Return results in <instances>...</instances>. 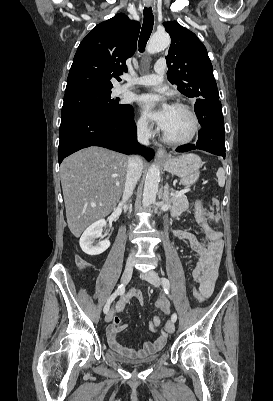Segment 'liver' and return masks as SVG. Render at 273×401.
<instances>
[{
  "label": "liver",
  "mask_w": 273,
  "mask_h": 401,
  "mask_svg": "<svg viewBox=\"0 0 273 401\" xmlns=\"http://www.w3.org/2000/svg\"><path fill=\"white\" fill-rule=\"evenodd\" d=\"M128 156L89 146L64 158L61 184L68 227L74 237L110 215L119 203L127 176Z\"/></svg>",
  "instance_id": "1"
}]
</instances>
